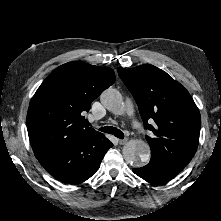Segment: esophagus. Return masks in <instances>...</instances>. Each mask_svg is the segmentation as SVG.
Masks as SVG:
<instances>
[{
  "mask_svg": "<svg viewBox=\"0 0 221 221\" xmlns=\"http://www.w3.org/2000/svg\"><path fill=\"white\" fill-rule=\"evenodd\" d=\"M127 141H128V139H126V138H125V139H119V140H118V142H119L120 145L126 144Z\"/></svg>",
  "mask_w": 221,
  "mask_h": 221,
  "instance_id": "esophagus-1",
  "label": "esophagus"
}]
</instances>
